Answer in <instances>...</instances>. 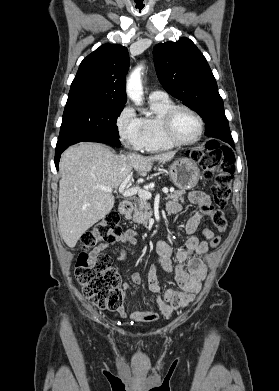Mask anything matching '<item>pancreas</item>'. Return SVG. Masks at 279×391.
Listing matches in <instances>:
<instances>
[{
    "label": "pancreas",
    "instance_id": "pancreas-1",
    "mask_svg": "<svg viewBox=\"0 0 279 391\" xmlns=\"http://www.w3.org/2000/svg\"><path fill=\"white\" fill-rule=\"evenodd\" d=\"M183 191H174L167 195L168 199L173 201H181L184 202ZM153 215L151 211V205L147 200L140 198L138 200V205L134 208L132 220L134 223L143 224L145 226L148 225V221Z\"/></svg>",
    "mask_w": 279,
    "mask_h": 391
}]
</instances>
